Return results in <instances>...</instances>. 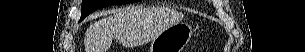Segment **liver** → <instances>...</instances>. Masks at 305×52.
I'll list each match as a JSON object with an SVG mask.
<instances>
[{"label":"liver","instance_id":"6515ba94","mask_svg":"<svg viewBox=\"0 0 305 52\" xmlns=\"http://www.w3.org/2000/svg\"><path fill=\"white\" fill-rule=\"evenodd\" d=\"M182 17L183 15L177 11H171L170 15L163 16L158 26H155L151 39L156 38L168 27L179 23ZM146 20L145 11L132 8L118 11L91 23L84 37L86 52H107L113 39L131 42L146 38L150 31L153 32L152 26L147 27Z\"/></svg>","mask_w":305,"mask_h":52}]
</instances>
